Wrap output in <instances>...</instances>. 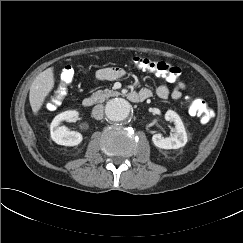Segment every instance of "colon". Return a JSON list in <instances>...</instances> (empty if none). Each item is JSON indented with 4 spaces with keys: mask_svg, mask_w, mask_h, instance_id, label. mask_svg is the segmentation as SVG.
I'll return each instance as SVG.
<instances>
[{
    "mask_svg": "<svg viewBox=\"0 0 243 243\" xmlns=\"http://www.w3.org/2000/svg\"><path fill=\"white\" fill-rule=\"evenodd\" d=\"M131 61L135 66L155 72L171 82L176 81L181 74V69L178 66L164 61H155L142 56H133ZM74 74L75 71L72 66L68 65L63 68L60 74V83L47 101L49 108H56L67 95L68 86L72 83ZM189 108L192 113L200 117L202 123H208L214 117L213 111L204 99L198 98L194 100Z\"/></svg>",
    "mask_w": 243,
    "mask_h": 243,
    "instance_id": "colon-1",
    "label": "colon"
}]
</instances>
